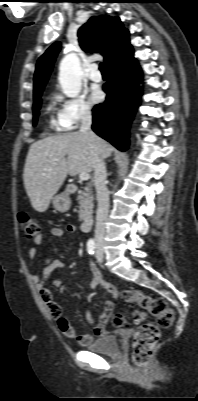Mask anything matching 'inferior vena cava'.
I'll use <instances>...</instances> for the list:
<instances>
[{"label": "inferior vena cava", "mask_w": 198, "mask_h": 401, "mask_svg": "<svg viewBox=\"0 0 198 401\" xmlns=\"http://www.w3.org/2000/svg\"><path fill=\"white\" fill-rule=\"evenodd\" d=\"M92 115L89 110L83 111L81 115L80 133L87 135L91 139H96V135L91 130ZM107 171L104 158L99 156L94 165V186L96 189L97 212L95 225V243L100 246L104 242L105 223L109 211V192L106 186Z\"/></svg>", "instance_id": "obj_1"}]
</instances>
